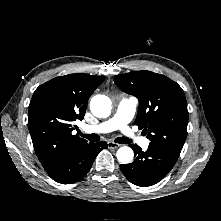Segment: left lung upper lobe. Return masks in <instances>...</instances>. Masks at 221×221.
<instances>
[{
  "instance_id": "1",
  "label": "left lung upper lobe",
  "mask_w": 221,
  "mask_h": 221,
  "mask_svg": "<svg viewBox=\"0 0 221 221\" xmlns=\"http://www.w3.org/2000/svg\"><path fill=\"white\" fill-rule=\"evenodd\" d=\"M115 84L138 98L134 122L158 148L179 157L187 136L188 110L181 87L168 77L150 71L116 75Z\"/></svg>"
}]
</instances>
